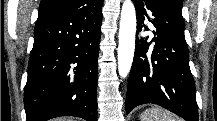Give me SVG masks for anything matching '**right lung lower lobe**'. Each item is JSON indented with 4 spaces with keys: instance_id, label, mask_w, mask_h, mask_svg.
Instances as JSON below:
<instances>
[{
    "instance_id": "1",
    "label": "right lung lower lobe",
    "mask_w": 217,
    "mask_h": 121,
    "mask_svg": "<svg viewBox=\"0 0 217 121\" xmlns=\"http://www.w3.org/2000/svg\"><path fill=\"white\" fill-rule=\"evenodd\" d=\"M103 0L38 17L24 91L26 121L76 116L97 121Z\"/></svg>"
}]
</instances>
